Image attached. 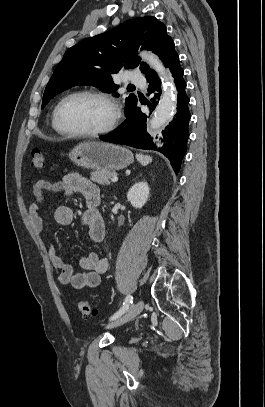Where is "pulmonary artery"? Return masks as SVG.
Returning a JSON list of instances; mask_svg holds the SVG:
<instances>
[{"instance_id": "e3ab8cb5", "label": "pulmonary artery", "mask_w": 265, "mask_h": 407, "mask_svg": "<svg viewBox=\"0 0 265 407\" xmlns=\"http://www.w3.org/2000/svg\"><path fill=\"white\" fill-rule=\"evenodd\" d=\"M127 79H128V81H129L130 83H132V84L144 85V83H145V78H144V76H143L140 72H138V71H136V70L131 71V72L128 74Z\"/></svg>"}]
</instances>
